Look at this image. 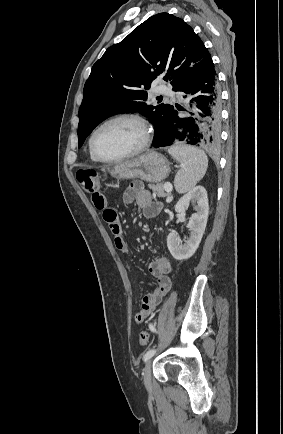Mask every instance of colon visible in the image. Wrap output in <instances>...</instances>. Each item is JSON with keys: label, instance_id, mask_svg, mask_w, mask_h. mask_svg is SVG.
<instances>
[{"label": "colon", "instance_id": "1", "mask_svg": "<svg viewBox=\"0 0 283 434\" xmlns=\"http://www.w3.org/2000/svg\"><path fill=\"white\" fill-rule=\"evenodd\" d=\"M77 180L81 187L88 193H95L99 187L98 174L93 170L82 169L77 172ZM149 341V333L142 331L139 335V344L145 346Z\"/></svg>", "mask_w": 283, "mask_h": 434}]
</instances>
